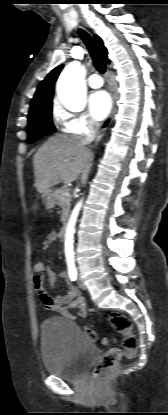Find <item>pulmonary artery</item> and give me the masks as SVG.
<instances>
[{
	"label": "pulmonary artery",
	"mask_w": 168,
	"mask_h": 415,
	"mask_svg": "<svg viewBox=\"0 0 168 415\" xmlns=\"http://www.w3.org/2000/svg\"><path fill=\"white\" fill-rule=\"evenodd\" d=\"M88 85L91 88L97 89L103 86V79L101 78V76L99 74H92L89 78H88Z\"/></svg>",
	"instance_id": "1"
}]
</instances>
